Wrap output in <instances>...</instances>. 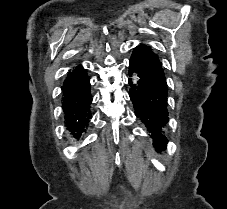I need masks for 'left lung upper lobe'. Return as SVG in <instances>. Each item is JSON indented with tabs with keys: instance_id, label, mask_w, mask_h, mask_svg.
Masks as SVG:
<instances>
[{
	"instance_id": "1",
	"label": "left lung upper lobe",
	"mask_w": 227,
	"mask_h": 209,
	"mask_svg": "<svg viewBox=\"0 0 227 209\" xmlns=\"http://www.w3.org/2000/svg\"><path fill=\"white\" fill-rule=\"evenodd\" d=\"M140 49L148 53L151 57H153L155 60L159 61V57L157 54L153 53L151 48L148 46L140 45L138 46ZM160 62V61H159Z\"/></svg>"
}]
</instances>
